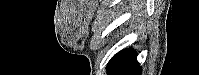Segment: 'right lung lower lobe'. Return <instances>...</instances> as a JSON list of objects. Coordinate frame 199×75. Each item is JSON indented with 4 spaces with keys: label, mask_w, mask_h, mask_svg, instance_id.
<instances>
[{
    "label": "right lung lower lobe",
    "mask_w": 199,
    "mask_h": 75,
    "mask_svg": "<svg viewBox=\"0 0 199 75\" xmlns=\"http://www.w3.org/2000/svg\"><path fill=\"white\" fill-rule=\"evenodd\" d=\"M136 57L137 53L132 49L119 52L108 63V75H140L141 67Z\"/></svg>",
    "instance_id": "right-lung-lower-lobe-1"
}]
</instances>
